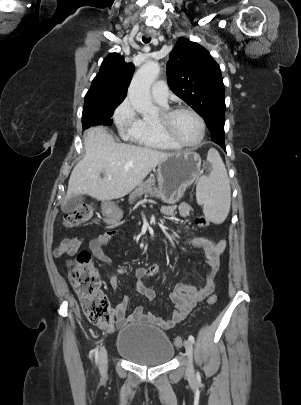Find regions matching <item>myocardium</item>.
<instances>
[{"instance_id":"f54148a6","label":"myocardium","mask_w":301,"mask_h":405,"mask_svg":"<svg viewBox=\"0 0 301 405\" xmlns=\"http://www.w3.org/2000/svg\"><path fill=\"white\" fill-rule=\"evenodd\" d=\"M180 112L191 113L199 122L200 135L199 138L193 143H186L180 140L171 130V122L173 117ZM158 131L166 139L183 148H193L201 144L205 137L206 125L203 117L193 108L188 106H177L174 108H168L162 111L160 117L155 121Z\"/></svg>"}]
</instances>
